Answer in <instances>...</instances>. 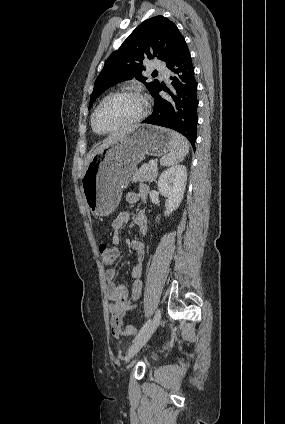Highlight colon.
I'll use <instances>...</instances> for the list:
<instances>
[{
	"label": "colon",
	"instance_id": "obj_1",
	"mask_svg": "<svg viewBox=\"0 0 285 424\" xmlns=\"http://www.w3.org/2000/svg\"><path fill=\"white\" fill-rule=\"evenodd\" d=\"M99 253H100L102 261L105 265L113 264L118 257L117 249L112 247V246L106 245V244H100L99 245ZM113 324H114L115 327H119L118 317L113 318ZM124 330L126 332L130 333L131 335L135 334V332H136L135 329L130 327V326L124 327Z\"/></svg>",
	"mask_w": 285,
	"mask_h": 424
}]
</instances>
